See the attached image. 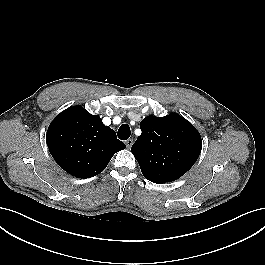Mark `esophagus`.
I'll return each instance as SVG.
<instances>
[{
	"label": "esophagus",
	"mask_w": 265,
	"mask_h": 265,
	"mask_svg": "<svg viewBox=\"0 0 265 265\" xmlns=\"http://www.w3.org/2000/svg\"><path fill=\"white\" fill-rule=\"evenodd\" d=\"M125 144H126L127 148L130 149L133 145V139L126 140Z\"/></svg>",
	"instance_id": "esophagus-1"
}]
</instances>
